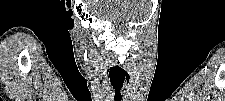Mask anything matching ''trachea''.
Listing matches in <instances>:
<instances>
[{
	"label": "trachea",
	"mask_w": 225,
	"mask_h": 101,
	"mask_svg": "<svg viewBox=\"0 0 225 101\" xmlns=\"http://www.w3.org/2000/svg\"><path fill=\"white\" fill-rule=\"evenodd\" d=\"M121 87H122V85H121ZM121 87L115 89L116 90L115 96H114L115 101H121V99H122V96H121V93H120Z\"/></svg>",
	"instance_id": "trachea-1"
}]
</instances>
